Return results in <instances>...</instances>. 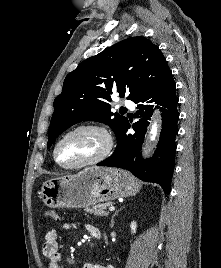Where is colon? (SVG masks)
Here are the masks:
<instances>
[{
    "mask_svg": "<svg viewBox=\"0 0 221 268\" xmlns=\"http://www.w3.org/2000/svg\"><path fill=\"white\" fill-rule=\"evenodd\" d=\"M45 218L48 220V221H57L58 220V214L56 213V211L54 210H47L45 212Z\"/></svg>",
    "mask_w": 221,
    "mask_h": 268,
    "instance_id": "colon-1",
    "label": "colon"
}]
</instances>
